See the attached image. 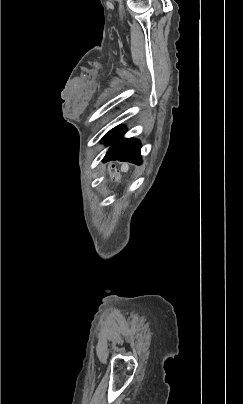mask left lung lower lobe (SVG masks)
<instances>
[{"label": "left lung lower lobe", "instance_id": "left-lung-lower-lobe-1", "mask_svg": "<svg viewBox=\"0 0 243 404\" xmlns=\"http://www.w3.org/2000/svg\"><path fill=\"white\" fill-rule=\"evenodd\" d=\"M125 129L121 126L110 130L102 139L103 142L111 144L112 147L104 158L105 161L119 160L135 164L141 163V144L135 139H121Z\"/></svg>", "mask_w": 243, "mask_h": 404}]
</instances>
